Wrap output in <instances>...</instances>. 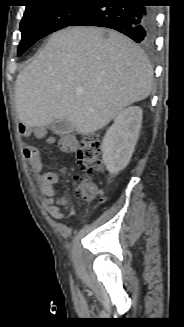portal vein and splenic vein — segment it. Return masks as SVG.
Listing matches in <instances>:
<instances>
[{"instance_id":"1","label":"portal vein and splenic vein","mask_w":184,"mask_h":327,"mask_svg":"<svg viewBox=\"0 0 184 327\" xmlns=\"http://www.w3.org/2000/svg\"><path fill=\"white\" fill-rule=\"evenodd\" d=\"M81 93H82L81 89L77 90V94H81Z\"/></svg>"}]
</instances>
